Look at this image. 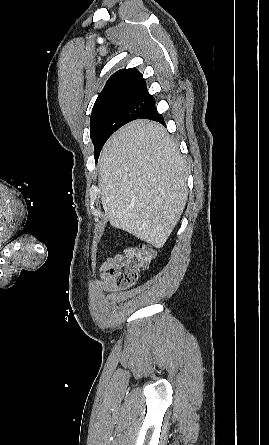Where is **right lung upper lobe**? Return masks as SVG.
Wrapping results in <instances>:
<instances>
[{
  "mask_svg": "<svg viewBox=\"0 0 269 445\" xmlns=\"http://www.w3.org/2000/svg\"><path fill=\"white\" fill-rule=\"evenodd\" d=\"M146 88L143 76L136 68L123 69L113 74L98 98L117 90Z\"/></svg>",
  "mask_w": 269,
  "mask_h": 445,
  "instance_id": "1",
  "label": "right lung upper lobe"
}]
</instances>
